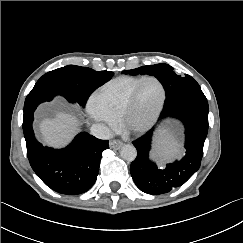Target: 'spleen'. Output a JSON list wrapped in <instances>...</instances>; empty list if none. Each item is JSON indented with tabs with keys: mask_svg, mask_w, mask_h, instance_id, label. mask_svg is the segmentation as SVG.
Here are the masks:
<instances>
[{
	"mask_svg": "<svg viewBox=\"0 0 243 243\" xmlns=\"http://www.w3.org/2000/svg\"><path fill=\"white\" fill-rule=\"evenodd\" d=\"M161 151L163 152L164 156L171 157L175 153H177V143L173 140V138L169 136H164L160 140Z\"/></svg>",
	"mask_w": 243,
	"mask_h": 243,
	"instance_id": "3e777b00",
	"label": "spleen"
}]
</instances>
